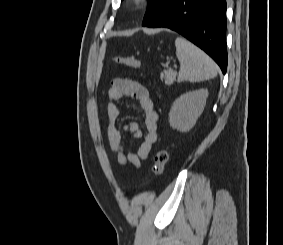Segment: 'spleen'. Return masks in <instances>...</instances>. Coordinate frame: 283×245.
Masks as SVG:
<instances>
[{
  "label": "spleen",
  "mask_w": 283,
  "mask_h": 245,
  "mask_svg": "<svg viewBox=\"0 0 283 245\" xmlns=\"http://www.w3.org/2000/svg\"><path fill=\"white\" fill-rule=\"evenodd\" d=\"M175 46L181 81L200 82L216 77L218 66L201 49L181 37L176 38Z\"/></svg>",
  "instance_id": "spleen-1"
}]
</instances>
